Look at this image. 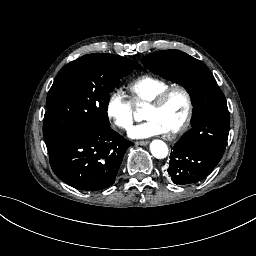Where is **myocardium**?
Segmentation results:
<instances>
[{
    "label": "myocardium",
    "instance_id": "myocardium-1",
    "mask_svg": "<svg viewBox=\"0 0 256 256\" xmlns=\"http://www.w3.org/2000/svg\"><path fill=\"white\" fill-rule=\"evenodd\" d=\"M174 91H176V92H178L179 94L182 95V97L184 99V102H185V111L170 126V129L173 132L182 129L187 124V122L189 121V119L191 117V114H192L191 99H190L188 93L186 92V90L182 86L176 85L174 88L171 89V91H166L165 93L160 95L159 98L145 110V114L147 116H150L149 113H148L149 110H158V109L162 108L164 106V104L166 103V101L168 100V98L170 97V95Z\"/></svg>",
    "mask_w": 256,
    "mask_h": 256
}]
</instances>
